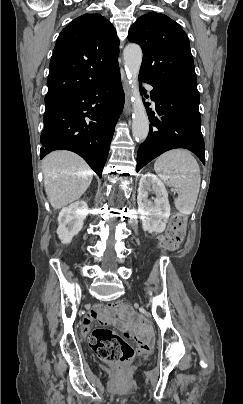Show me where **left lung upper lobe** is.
I'll return each mask as SVG.
<instances>
[{
	"label": "left lung upper lobe",
	"instance_id": "obj_1",
	"mask_svg": "<svg viewBox=\"0 0 243 404\" xmlns=\"http://www.w3.org/2000/svg\"><path fill=\"white\" fill-rule=\"evenodd\" d=\"M128 40L143 51L139 77L197 90L189 39L178 23L164 14H144L131 26Z\"/></svg>",
	"mask_w": 243,
	"mask_h": 404
}]
</instances>
